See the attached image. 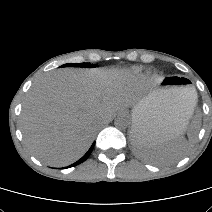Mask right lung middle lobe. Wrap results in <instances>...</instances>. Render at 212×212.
<instances>
[{
  "mask_svg": "<svg viewBox=\"0 0 212 212\" xmlns=\"http://www.w3.org/2000/svg\"><path fill=\"white\" fill-rule=\"evenodd\" d=\"M67 66H79V67H96V65L90 64V63H80V64H64L61 67H67Z\"/></svg>",
  "mask_w": 212,
  "mask_h": 212,
  "instance_id": "right-lung-middle-lobe-1",
  "label": "right lung middle lobe"
}]
</instances>
